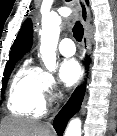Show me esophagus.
I'll return each mask as SVG.
<instances>
[{
    "mask_svg": "<svg viewBox=\"0 0 117 136\" xmlns=\"http://www.w3.org/2000/svg\"><path fill=\"white\" fill-rule=\"evenodd\" d=\"M78 4V8L80 11V17L82 19L84 25V37L82 41V46L85 51H90L91 49V36H92V28H91V14L90 9L87 6L85 0H76Z\"/></svg>",
    "mask_w": 117,
    "mask_h": 136,
    "instance_id": "obj_1",
    "label": "esophagus"
}]
</instances>
